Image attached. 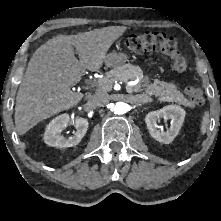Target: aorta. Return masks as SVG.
Instances as JSON below:
<instances>
[{
    "mask_svg": "<svg viewBox=\"0 0 221 221\" xmlns=\"http://www.w3.org/2000/svg\"><path fill=\"white\" fill-rule=\"evenodd\" d=\"M115 114L122 115L128 111V105L124 102H117L113 109Z\"/></svg>",
    "mask_w": 221,
    "mask_h": 221,
    "instance_id": "1",
    "label": "aorta"
}]
</instances>
